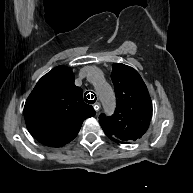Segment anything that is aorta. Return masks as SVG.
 I'll return each instance as SVG.
<instances>
[{"label": "aorta", "mask_w": 193, "mask_h": 193, "mask_svg": "<svg viewBox=\"0 0 193 193\" xmlns=\"http://www.w3.org/2000/svg\"><path fill=\"white\" fill-rule=\"evenodd\" d=\"M92 84L106 112L109 114L113 113L116 102L111 85L98 75L94 76Z\"/></svg>", "instance_id": "1"}]
</instances>
